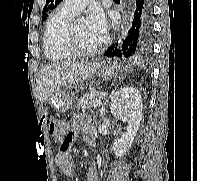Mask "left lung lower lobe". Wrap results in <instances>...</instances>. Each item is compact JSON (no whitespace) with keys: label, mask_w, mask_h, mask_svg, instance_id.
<instances>
[{"label":"left lung lower lobe","mask_w":197,"mask_h":181,"mask_svg":"<svg viewBox=\"0 0 197 181\" xmlns=\"http://www.w3.org/2000/svg\"><path fill=\"white\" fill-rule=\"evenodd\" d=\"M152 0H136L131 28L120 45L115 44L105 51L108 57L142 58L150 54L152 39Z\"/></svg>","instance_id":"left-lung-lower-lobe-1"}]
</instances>
